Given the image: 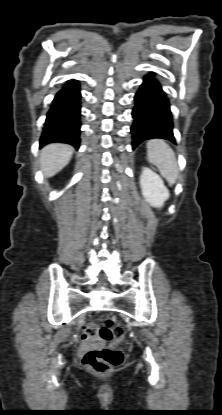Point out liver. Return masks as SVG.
<instances>
[{
	"label": "liver",
	"mask_w": 222,
	"mask_h": 415,
	"mask_svg": "<svg viewBox=\"0 0 222 415\" xmlns=\"http://www.w3.org/2000/svg\"><path fill=\"white\" fill-rule=\"evenodd\" d=\"M73 151V147L62 143L44 147L40 154V162L45 176L52 177L61 171L69 163Z\"/></svg>",
	"instance_id": "1"
}]
</instances>
